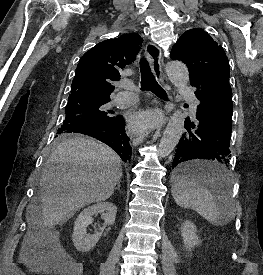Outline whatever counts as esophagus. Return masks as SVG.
<instances>
[{
	"instance_id": "34e87169",
	"label": "esophagus",
	"mask_w": 263,
	"mask_h": 275,
	"mask_svg": "<svg viewBox=\"0 0 263 275\" xmlns=\"http://www.w3.org/2000/svg\"><path fill=\"white\" fill-rule=\"evenodd\" d=\"M146 56L151 64L152 71L157 80L162 81V69H161V61H162V53L161 49L153 42H148L145 48ZM162 121L156 125V128H160L162 126ZM144 139V133L133 135L132 142L134 146L139 145Z\"/></svg>"
}]
</instances>
